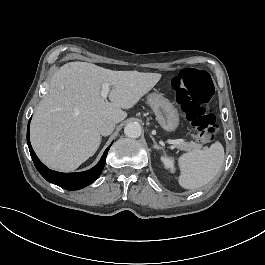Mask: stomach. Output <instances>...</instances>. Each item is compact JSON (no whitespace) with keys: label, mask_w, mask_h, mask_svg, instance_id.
<instances>
[{"label":"stomach","mask_w":265,"mask_h":265,"mask_svg":"<svg viewBox=\"0 0 265 265\" xmlns=\"http://www.w3.org/2000/svg\"><path fill=\"white\" fill-rule=\"evenodd\" d=\"M147 103L156 115V120L166 131H174L179 124V113L174 105L159 93H150Z\"/></svg>","instance_id":"obj_1"}]
</instances>
